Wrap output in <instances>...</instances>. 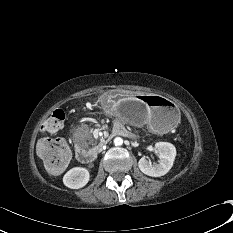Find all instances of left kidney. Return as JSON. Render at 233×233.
I'll return each instance as SVG.
<instances>
[{"label":"left kidney","instance_id":"1","mask_svg":"<svg viewBox=\"0 0 233 233\" xmlns=\"http://www.w3.org/2000/svg\"><path fill=\"white\" fill-rule=\"evenodd\" d=\"M155 148L159 153V163H151L145 158L138 162L139 169L146 175L160 177L169 172L176 157V148L168 142H157Z\"/></svg>","mask_w":233,"mask_h":233}]
</instances>
